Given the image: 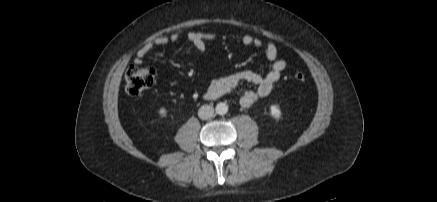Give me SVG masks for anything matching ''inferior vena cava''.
<instances>
[{"label":"inferior vena cava","instance_id":"obj_1","mask_svg":"<svg viewBox=\"0 0 437 202\" xmlns=\"http://www.w3.org/2000/svg\"><path fill=\"white\" fill-rule=\"evenodd\" d=\"M214 115V108L210 105H203L198 110V116L202 120H208Z\"/></svg>","mask_w":437,"mask_h":202}]
</instances>
